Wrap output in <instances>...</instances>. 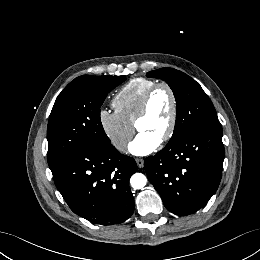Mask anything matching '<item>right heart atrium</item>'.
<instances>
[{
  "mask_svg": "<svg viewBox=\"0 0 260 260\" xmlns=\"http://www.w3.org/2000/svg\"><path fill=\"white\" fill-rule=\"evenodd\" d=\"M99 125L111 145L118 151H124L133 134V126L118 112L100 109Z\"/></svg>",
  "mask_w": 260,
  "mask_h": 260,
  "instance_id": "right-heart-atrium-1",
  "label": "right heart atrium"
}]
</instances>
